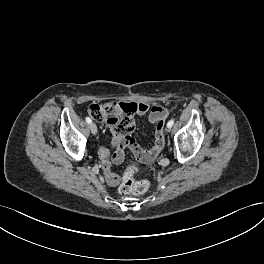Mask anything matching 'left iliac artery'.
Masks as SVG:
<instances>
[{
	"mask_svg": "<svg viewBox=\"0 0 264 264\" xmlns=\"http://www.w3.org/2000/svg\"><path fill=\"white\" fill-rule=\"evenodd\" d=\"M174 124V120L171 119L168 123H167V127H172Z\"/></svg>",
	"mask_w": 264,
	"mask_h": 264,
	"instance_id": "left-iliac-artery-1",
	"label": "left iliac artery"
}]
</instances>
